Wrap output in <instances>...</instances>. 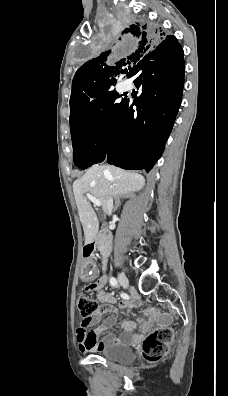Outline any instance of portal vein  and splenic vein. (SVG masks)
I'll list each match as a JSON object with an SVG mask.
<instances>
[{"label":"portal vein and splenic vein","mask_w":228,"mask_h":396,"mask_svg":"<svg viewBox=\"0 0 228 396\" xmlns=\"http://www.w3.org/2000/svg\"><path fill=\"white\" fill-rule=\"evenodd\" d=\"M87 198L95 205V206H101V201L92 196L91 194L87 193L86 194Z\"/></svg>","instance_id":"1"}]
</instances>
